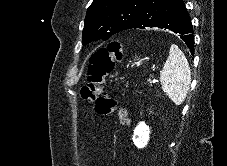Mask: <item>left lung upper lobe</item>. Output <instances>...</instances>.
I'll list each match as a JSON object with an SVG mask.
<instances>
[{
  "mask_svg": "<svg viewBox=\"0 0 227 166\" xmlns=\"http://www.w3.org/2000/svg\"><path fill=\"white\" fill-rule=\"evenodd\" d=\"M147 0H94L88 8L82 43L107 40L131 29Z\"/></svg>",
  "mask_w": 227,
  "mask_h": 166,
  "instance_id": "left-lung-upper-lobe-1",
  "label": "left lung upper lobe"
}]
</instances>
